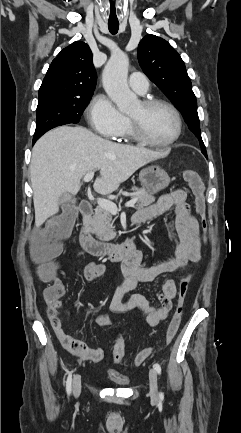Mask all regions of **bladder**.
Segmentation results:
<instances>
[{"mask_svg": "<svg viewBox=\"0 0 241 433\" xmlns=\"http://www.w3.org/2000/svg\"><path fill=\"white\" fill-rule=\"evenodd\" d=\"M109 380L118 387H126L130 384V379L126 375L119 374L116 371H111L108 373Z\"/></svg>", "mask_w": 241, "mask_h": 433, "instance_id": "1", "label": "bladder"}]
</instances>
